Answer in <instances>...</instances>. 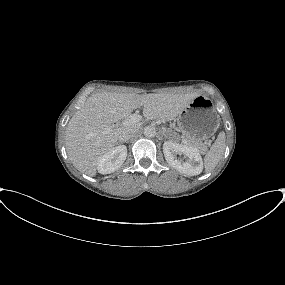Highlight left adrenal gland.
<instances>
[{
  "label": "left adrenal gland",
  "instance_id": "a2214340",
  "mask_svg": "<svg viewBox=\"0 0 285 285\" xmlns=\"http://www.w3.org/2000/svg\"><path fill=\"white\" fill-rule=\"evenodd\" d=\"M162 134L165 138L170 139V137L167 135V131L163 129Z\"/></svg>",
  "mask_w": 285,
  "mask_h": 285
}]
</instances>
